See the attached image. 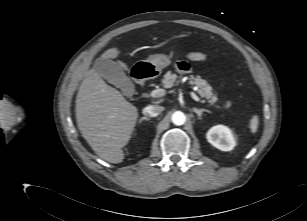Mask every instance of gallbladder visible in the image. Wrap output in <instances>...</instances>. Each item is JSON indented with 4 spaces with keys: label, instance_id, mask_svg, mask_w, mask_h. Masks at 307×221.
Returning <instances> with one entry per match:
<instances>
[{
    "label": "gallbladder",
    "instance_id": "gallbladder-1",
    "mask_svg": "<svg viewBox=\"0 0 307 221\" xmlns=\"http://www.w3.org/2000/svg\"><path fill=\"white\" fill-rule=\"evenodd\" d=\"M94 69L100 77L120 88L125 96L131 97L134 94L133 82L117 62L100 57L95 60Z\"/></svg>",
    "mask_w": 307,
    "mask_h": 221
}]
</instances>
